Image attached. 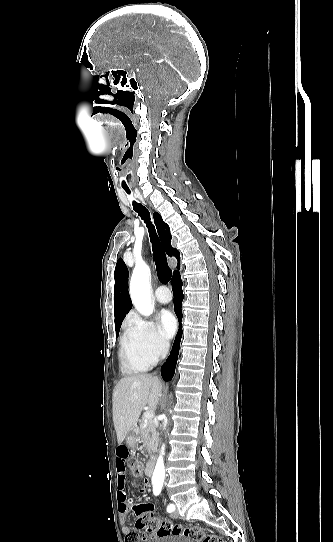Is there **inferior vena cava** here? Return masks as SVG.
I'll return each mask as SVG.
<instances>
[{"label": "inferior vena cava", "instance_id": "inferior-vena-cava-1", "mask_svg": "<svg viewBox=\"0 0 333 542\" xmlns=\"http://www.w3.org/2000/svg\"><path fill=\"white\" fill-rule=\"evenodd\" d=\"M169 340H164L163 342V350H162V358H166L167 352L169 350Z\"/></svg>", "mask_w": 333, "mask_h": 542}]
</instances>
